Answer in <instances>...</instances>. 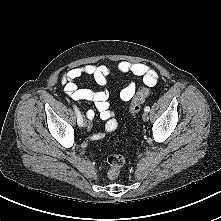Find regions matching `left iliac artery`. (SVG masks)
Here are the masks:
<instances>
[{"mask_svg":"<svg viewBox=\"0 0 221 221\" xmlns=\"http://www.w3.org/2000/svg\"><path fill=\"white\" fill-rule=\"evenodd\" d=\"M144 111H145V112H149V111H150V107H149V106H146V107L144 108Z\"/></svg>","mask_w":221,"mask_h":221,"instance_id":"left-iliac-artery-1","label":"left iliac artery"}]
</instances>
